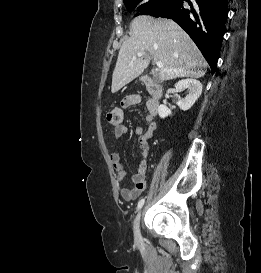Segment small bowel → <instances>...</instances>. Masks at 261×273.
I'll use <instances>...</instances> for the list:
<instances>
[{"instance_id":"obj_1","label":"small bowel","mask_w":261,"mask_h":273,"mask_svg":"<svg viewBox=\"0 0 261 273\" xmlns=\"http://www.w3.org/2000/svg\"><path fill=\"white\" fill-rule=\"evenodd\" d=\"M142 100L140 95H129L122 100V107L129 108L137 105ZM157 114V107H153L151 104V99L146 102V114L145 119L148 123L147 127L143 129L142 127L135 128V134L138 138L139 145V154L141 161L138 165L137 171L132 175V181L134 187L129 188H120V194L122 198L126 201H132L137 199L142 192L146 189V175H147V158L149 155V141L153 138L157 125L155 122V117ZM127 133V127L123 124L115 126L113 131V136L115 141H120L125 134ZM113 169L116 174V180L118 183H121L125 176L126 172L124 166L121 162V157L119 151H115L110 156Z\"/></svg>"}]
</instances>
